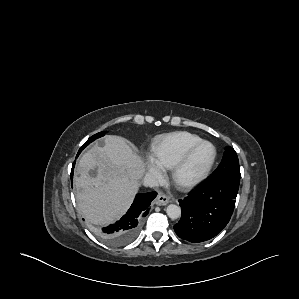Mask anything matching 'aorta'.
Listing matches in <instances>:
<instances>
[{
  "mask_svg": "<svg viewBox=\"0 0 299 299\" xmlns=\"http://www.w3.org/2000/svg\"><path fill=\"white\" fill-rule=\"evenodd\" d=\"M166 213L171 219H178L181 216V208L175 204H169Z\"/></svg>",
  "mask_w": 299,
  "mask_h": 299,
  "instance_id": "762f6f07",
  "label": "aorta"
}]
</instances>
